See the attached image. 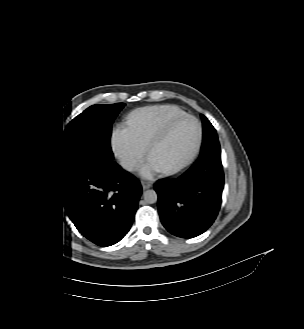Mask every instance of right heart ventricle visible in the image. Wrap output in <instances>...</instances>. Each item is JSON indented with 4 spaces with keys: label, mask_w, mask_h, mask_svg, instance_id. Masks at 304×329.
Instances as JSON below:
<instances>
[{
    "label": "right heart ventricle",
    "mask_w": 304,
    "mask_h": 329,
    "mask_svg": "<svg viewBox=\"0 0 304 329\" xmlns=\"http://www.w3.org/2000/svg\"><path fill=\"white\" fill-rule=\"evenodd\" d=\"M186 114L176 105H155L145 107L125 122L126 131L141 150H145L150 140L157 135L166 123L177 116Z\"/></svg>",
    "instance_id": "right-heart-ventricle-1"
}]
</instances>
